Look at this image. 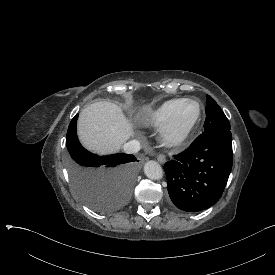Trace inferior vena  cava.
<instances>
[{
  "mask_svg": "<svg viewBox=\"0 0 275 275\" xmlns=\"http://www.w3.org/2000/svg\"><path fill=\"white\" fill-rule=\"evenodd\" d=\"M140 149V143L138 140H132L123 146V150L126 154L136 153Z\"/></svg>",
  "mask_w": 275,
  "mask_h": 275,
  "instance_id": "obj_1",
  "label": "inferior vena cava"
}]
</instances>
